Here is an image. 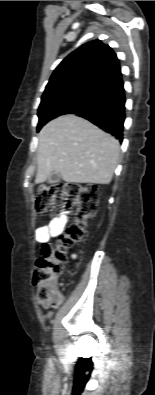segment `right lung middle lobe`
<instances>
[{"label": "right lung middle lobe", "mask_w": 155, "mask_h": 395, "mask_svg": "<svg viewBox=\"0 0 155 395\" xmlns=\"http://www.w3.org/2000/svg\"><path fill=\"white\" fill-rule=\"evenodd\" d=\"M101 86L88 82L73 81L46 87L38 109L39 131L51 119L67 114L86 102Z\"/></svg>", "instance_id": "right-lung-middle-lobe-1"}]
</instances>
